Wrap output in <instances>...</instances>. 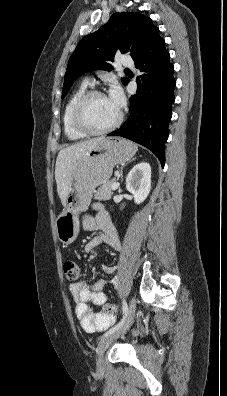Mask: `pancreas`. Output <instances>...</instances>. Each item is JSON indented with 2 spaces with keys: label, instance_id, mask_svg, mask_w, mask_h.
Returning <instances> with one entry per match:
<instances>
[{
  "label": "pancreas",
  "instance_id": "cf45deb5",
  "mask_svg": "<svg viewBox=\"0 0 227 396\" xmlns=\"http://www.w3.org/2000/svg\"><path fill=\"white\" fill-rule=\"evenodd\" d=\"M116 182V179H113L103 185H101L96 191H95V198L99 199V200H110L112 195H113V191H112V185Z\"/></svg>",
  "mask_w": 227,
  "mask_h": 396
}]
</instances>
